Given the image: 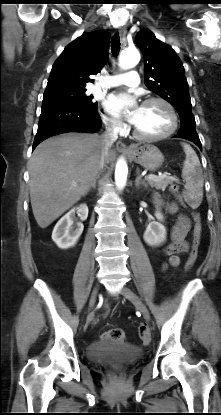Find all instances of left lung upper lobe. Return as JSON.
Masks as SVG:
<instances>
[{
  "mask_svg": "<svg viewBox=\"0 0 221 415\" xmlns=\"http://www.w3.org/2000/svg\"><path fill=\"white\" fill-rule=\"evenodd\" d=\"M135 43L144 56V82L179 113L181 124H194L184 67L175 51L148 29L140 30Z\"/></svg>",
  "mask_w": 221,
  "mask_h": 415,
  "instance_id": "1",
  "label": "left lung upper lobe"
}]
</instances>
